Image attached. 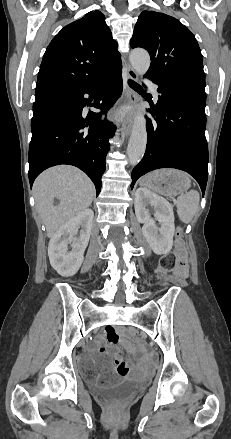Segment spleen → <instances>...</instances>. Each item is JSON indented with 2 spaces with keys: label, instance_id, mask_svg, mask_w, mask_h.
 I'll return each mask as SVG.
<instances>
[{
  "label": "spleen",
  "instance_id": "1",
  "mask_svg": "<svg viewBox=\"0 0 231 439\" xmlns=\"http://www.w3.org/2000/svg\"><path fill=\"white\" fill-rule=\"evenodd\" d=\"M199 200L196 190H190L177 198V213L182 222L189 223L193 220L199 208Z\"/></svg>",
  "mask_w": 231,
  "mask_h": 439
}]
</instances>
